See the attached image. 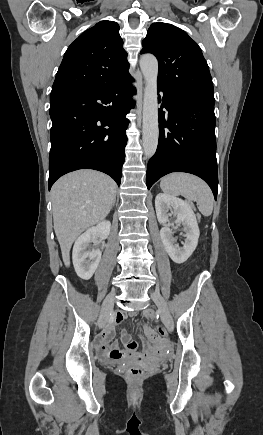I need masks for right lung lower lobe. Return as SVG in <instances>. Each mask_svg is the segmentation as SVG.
<instances>
[{
	"label": "right lung lower lobe",
	"mask_w": 263,
	"mask_h": 435,
	"mask_svg": "<svg viewBox=\"0 0 263 435\" xmlns=\"http://www.w3.org/2000/svg\"><path fill=\"white\" fill-rule=\"evenodd\" d=\"M130 74L82 94L50 101L52 120L49 156V190L62 175L78 169H94L121 183L125 117L134 106Z\"/></svg>",
	"instance_id": "right-lung-lower-lobe-1"
}]
</instances>
